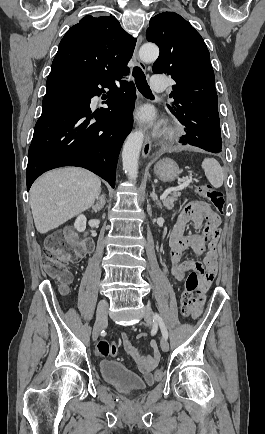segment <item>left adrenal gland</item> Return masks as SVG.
Listing matches in <instances>:
<instances>
[{
    "label": "left adrenal gland",
    "instance_id": "1",
    "mask_svg": "<svg viewBox=\"0 0 265 434\" xmlns=\"http://www.w3.org/2000/svg\"><path fill=\"white\" fill-rule=\"evenodd\" d=\"M150 196H151L152 200H155L158 208H160V210H162V204H161L160 200H158L157 194H155V186H154V184H152V194H150Z\"/></svg>",
    "mask_w": 265,
    "mask_h": 434
}]
</instances>
